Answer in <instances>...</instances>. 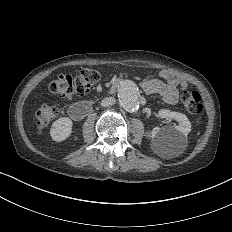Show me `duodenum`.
Returning a JSON list of instances; mask_svg holds the SVG:
<instances>
[{
  "label": "duodenum",
  "mask_w": 232,
  "mask_h": 232,
  "mask_svg": "<svg viewBox=\"0 0 232 232\" xmlns=\"http://www.w3.org/2000/svg\"><path fill=\"white\" fill-rule=\"evenodd\" d=\"M119 84H120V80H116L112 82L110 86V90L111 91L115 90L119 86ZM91 108H92L91 102H82V103L73 104L72 106H70L68 110V114L74 120H81L90 113Z\"/></svg>",
  "instance_id": "duodenum-1"
}]
</instances>
